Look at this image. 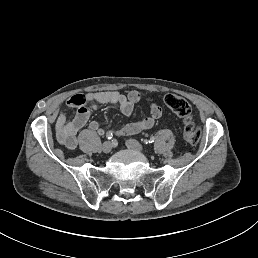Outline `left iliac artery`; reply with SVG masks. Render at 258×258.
I'll return each instance as SVG.
<instances>
[{
    "label": "left iliac artery",
    "mask_w": 258,
    "mask_h": 258,
    "mask_svg": "<svg viewBox=\"0 0 258 258\" xmlns=\"http://www.w3.org/2000/svg\"><path fill=\"white\" fill-rule=\"evenodd\" d=\"M155 141V137L154 136H152V137H150V139H149V141H148V143H153Z\"/></svg>",
    "instance_id": "obj_1"
}]
</instances>
